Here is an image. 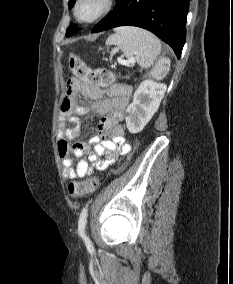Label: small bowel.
<instances>
[{"label":"small bowel","mask_w":233,"mask_h":284,"mask_svg":"<svg viewBox=\"0 0 233 284\" xmlns=\"http://www.w3.org/2000/svg\"><path fill=\"white\" fill-rule=\"evenodd\" d=\"M130 95V86L124 84H114L107 90H102L78 78L69 80L66 94L60 105V117L70 126L63 128L58 142L63 177L66 180L87 176L94 169L104 170L119 154L130 151V145L125 142L124 131L120 125L130 101ZM79 97L90 99L92 110L101 115L99 134L91 138L89 143L70 144L68 140L79 135V117L88 112V108L79 102ZM83 156L86 158H82ZM102 156H104L103 159ZM77 158L82 159L76 163Z\"/></svg>","instance_id":"1"}]
</instances>
